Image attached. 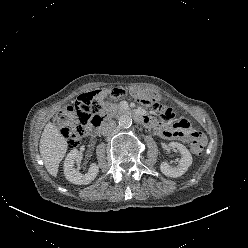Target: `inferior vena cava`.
Segmentation results:
<instances>
[{
    "label": "inferior vena cava",
    "instance_id": "1",
    "mask_svg": "<svg viewBox=\"0 0 248 248\" xmlns=\"http://www.w3.org/2000/svg\"><path fill=\"white\" fill-rule=\"evenodd\" d=\"M116 123L113 120L107 121L102 125V134L109 135L114 132Z\"/></svg>",
    "mask_w": 248,
    "mask_h": 248
}]
</instances>
